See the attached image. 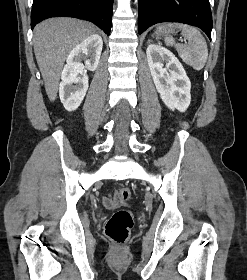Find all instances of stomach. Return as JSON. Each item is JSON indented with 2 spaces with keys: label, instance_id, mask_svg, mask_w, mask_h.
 <instances>
[{
  "label": "stomach",
  "instance_id": "0dacf381",
  "mask_svg": "<svg viewBox=\"0 0 247 280\" xmlns=\"http://www.w3.org/2000/svg\"><path fill=\"white\" fill-rule=\"evenodd\" d=\"M173 33H175L174 29L171 27H167V26H161L156 31L157 36L168 35V34H173Z\"/></svg>",
  "mask_w": 247,
  "mask_h": 280
}]
</instances>
